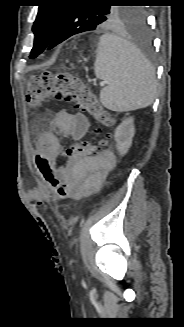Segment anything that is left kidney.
<instances>
[{"label": "left kidney", "instance_id": "left-kidney-1", "mask_svg": "<svg viewBox=\"0 0 184 327\" xmlns=\"http://www.w3.org/2000/svg\"><path fill=\"white\" fill-rule=\"evenodd\" d=\"M135 134L134 118L125 119L115 130L116 148L120 155H125L132 144Z\"/></svg>", "mask_w": 184, "mask_h": 327}]
</instances>
